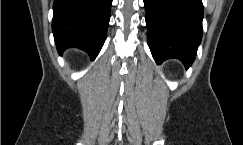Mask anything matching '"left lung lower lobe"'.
<instances>
[{
	"label": "left lung lower lobe",
	"mask_w": 243,
	"mask_h": 145,
	"mask_svg": "<svg viewBox=\"0 0 243 145\" xmlns=\"http://www.w3.org/2000/svg\"><path fill=\"white\" fill-rule=\"evenodd\" d=\"M148 45L157 64L192 65L202 38V0H144Z\"/></svg>",
	"instance_id": "1"
}]
</instances>
